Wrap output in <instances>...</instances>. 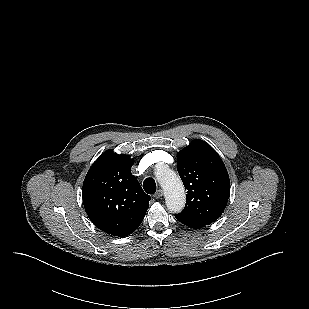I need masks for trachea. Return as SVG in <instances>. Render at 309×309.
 Returning <instances> with one entry per match:
<instances>
[{
    "label": "trachea",
    "mask_w": 309,
    "mask_h": 309,
    "mask_svg": "<svg viewBox=\"0 0 309 309\" xmlns=\"http://www.w3.org/2000/svg\"><path fill=\"white\" fill-rule=\"evenodd\" d=\"M143 188L146 193L154 194L156 192V183L153 178H146L143 182Z\"/></svg>",
    "instance_id": "1"
}]
</instances>
